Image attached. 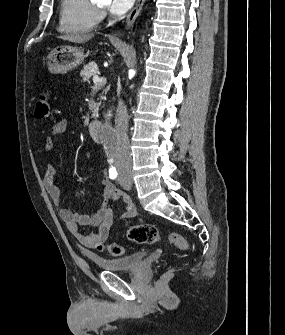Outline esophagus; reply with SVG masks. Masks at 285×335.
I'll list each match as a JSON object with an SVG mask.
<instances>
[{"label":"esophagus","mask_w":285,"mask_h":335,"mask_svg":"<svg viewBox=\"0 0 285 335\" xmlns=\"http://www.w3.org/2000/svg\"><path fill=\"white\" fill-rule=\"evenodd\" d=\"M145 2V0H137V3L135 5V7L133 8V10H131V12L129 13V15L127 16L126 19V24H125V30H129L130 28H132V26L135 23L136 18L138 17L143 3Z\"/></svg>","instance_id":"1"}]
</instances>
